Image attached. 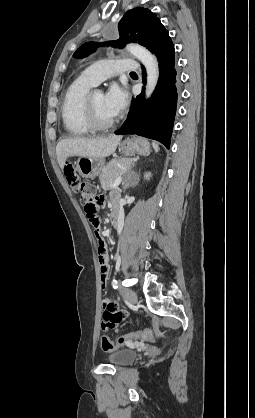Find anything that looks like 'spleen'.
<instances>
[{"mask_svg":"<svg viewBox=\"0 0 255 418\" xmlns=\"http://www.w3.org/2000/svg\"><path fill=\"white\" fill-rule=\"evenodd\" d=\"M152 145H153V148H154L155 152H158L159 151L158 144L156 142H153Z\"/></svg>","mask_w":255,"mask_h":418,"instance_id":"spleen-1","label":"spleen"}]
</instances>
